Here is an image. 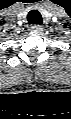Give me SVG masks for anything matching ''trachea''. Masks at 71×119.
I'll return each instance as SVG.
<instances>
[{"instance_id":"trachea-1","label":"trachea","mask_w":71,"mask_h":119,"mask_svg":"<svg viewBox=\"0 0 71 119\" xmlns=\"http://www.w3.org/2000/svg\"><path fill=\"white\" fill-rule=\"evenodd\" d=\"M27 19H28V22L32 24L43 23L42 16L38 10H31L27 15Z\"/></svg>"}]
</instances>
